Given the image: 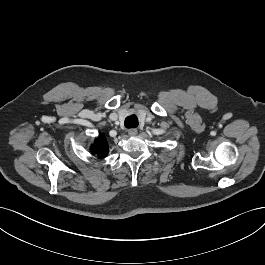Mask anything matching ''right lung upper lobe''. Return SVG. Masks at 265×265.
Listing matches in <instances>:
<instances>
[{
	"label": "right lung upper lobe",
	"mask_w": 265,
	"mask_h": 265,
	"mask_svg": "<svg viewBox=\"0 0 265 265\" xmlns=\"http://www.w3.org/2000/svg\"><path fill=\"white\" fill-rule=\"evenodd\" d=\"M93 154H97L99 158L106 157L108 153V144L104 135H100L95 139L94 144L91 147Z\"/></svg>",
	"instance_id": "1"
}]
</instances>
